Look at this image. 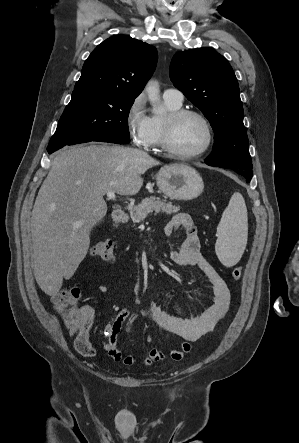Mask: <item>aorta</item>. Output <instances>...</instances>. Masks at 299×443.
<instances>
[{"label":"aorta","instance_id":"1","mask_svg":"<svg viewBox=\"0 0 299 443\" xmlns=\"http://www.w3.org/2000/svg\"><path fill=\"white\" fill-rule=\"evenodd\" d=\"M145 91L148 95L150 103L153 105V109L156 114H162L164 109L158 105L160 99V90L156 81H149L145 87Z\"/></svg>","mask_w":299,"mask_h":443}]
</instances>
